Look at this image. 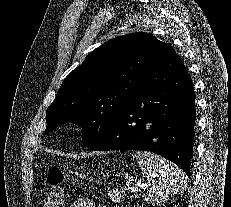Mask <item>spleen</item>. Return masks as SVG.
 Listing matches in <instances>:
<instances>
[{"label":"spleen","mask_w":231,"mask_h":207,"mask_svg":"<svg viewBox=\"0 0 231 207\" xmlns=\"http://www.w3.org/2000/svg\"><path fill=\"white\" fill-rule=\"evenodd\" d=\"M133 157L147 179L145 200L148 204H161L186 189V175L173 163L150 152L136 151Z\"/></svg>","instance_id":"3e777b00"}]
</instances>
